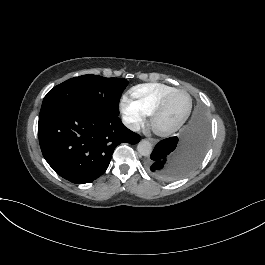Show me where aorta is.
Here are the masks:
<instances>
[{
    "label": "aorta",
    "instance_id": "762f6f07",
    "mask_svg": "<svg viewBox=\"0 0 265 265\" xmlns=\"http://www.w3.org/2000/svg\"><path fill=\"white\" fill-rule=\"evenodd\" d=\"M137 150L138 153L142 156H148L150 155L152 151V145L149 141L147 140H142L138 143L137 145Z\"/></svg>",
    "mask_w": 265,
    "mask_h": 265
}]
</instances>
